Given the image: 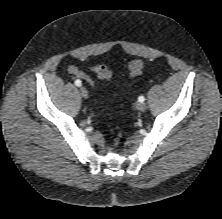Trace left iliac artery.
I'll use <instances>...</instances> for the list:
<instances>
[{"mask_svg":"<svg viewBox=\"0 0 222 219\" xmlns=\"http://www.w3.org/2000/svg\"><path fill=\"white\" fill-rule=\"evenodd\" d=\"M138 99H139V102H143L145 100L144 96H140Z\"/></svg>","mask_w":222,"mask_h":219,"instance_id":"left-iliac-artery-1","label":"left iliac artery"}]
</instances>
